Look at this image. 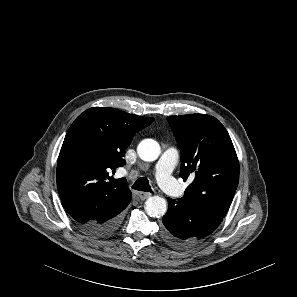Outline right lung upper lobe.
<instances>
[{"instance_id": "1", "label": "right lung upper lobe", "mask_w": 297, "mask_h": 297, "mask_svg": "<svg viewBox=\"0 0 297 297\" xmlns=\"http://www.w3.org/2000/svg\"><path fill=\"white\" fill-rule=\"evenodd\" d=\"M154 120L94 107L72 123L58 157L57 187L66 211L78 224L129 204L131 191L109 173L125 164L133 135Z\"/></svg>"}]
</instances>
